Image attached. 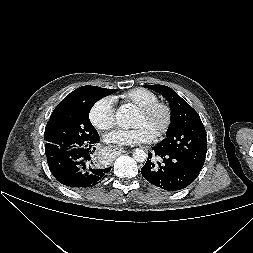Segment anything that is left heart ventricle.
Listing matches in <instances>:
<instances>
[{"label":"left heart ventricle","instance_id":"left-heart-ventricle-1","mask_svg":"<svg viewBox=\"0 0 253 253\" xmlns=\"http://www.w3.org/2000/svg\"><path fill=\"white\" fill-rule=\"evenodd\" d=\"M164 121L165 114L161 110H157L150 115H144L137 111L134 116L133 125H144L155 135L163 126Z\"/></svg>","mask_w":253,"mask_h":253}]
</instances>
